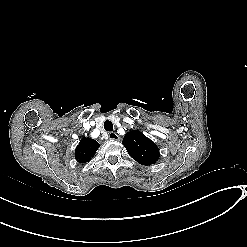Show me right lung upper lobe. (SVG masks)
I'll return each instance as SVG.
<instances>
[{
  "label": "right lung upper lobe",
  "mask_w": 247,
  "mask_h": 247,
  "mask_svg": "<svg viewBox=\"0 0 247 247\" xmlns=\"http://www.w3.org/2000/svg\"><path fill=\"white\" fill-rule=\"evenodd\" d=\"M99 148V144L96 140L83 137L75 150L76 160L80 163L90 161L95 155L96 150Z\"/></svg>",
  "instance_id": "1"
}]
</instances>
